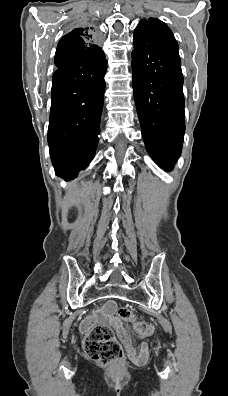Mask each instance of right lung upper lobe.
Instances as JSON below:
<instances>
[{"instance_id": "cb5924a9", "label": "right lung upper lobe", "mask_w": 228, "mask_h": 396, "mask_svg": "<svg viewBox=\"0 0 228 396\" xmlns=\"http://www.w3.org/2000/svg\"><path fill=\"white\" fill-rule=\"evenodd\" d=\"M94 34L93 28H76L61 38L57 48L62 46H73L76 49L84 50L91 46V48L94 49L96 46L92 44L95 37Z\"/></svg>"}]
</instances>
